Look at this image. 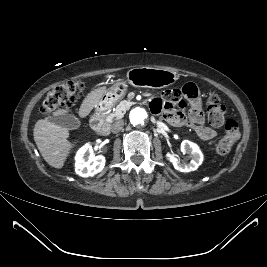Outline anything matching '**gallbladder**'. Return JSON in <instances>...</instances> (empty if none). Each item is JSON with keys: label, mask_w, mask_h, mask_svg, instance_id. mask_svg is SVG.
<instances>
[{"label": "gallbladder", "mask_w": 267, "mask_h": 267, "mask_svg": "<svg viewBox=\"0 0 267 267\" xmlns=\"http://www.w3.org/2000/svg\"><path fill=\"white\" fill-rule=\"evenodd\" d=\"M50 121L56 125L65 127L70 130L77 129L81 125V121L71 114L54 116L50 119Z\"/></svg>", "instance_id": "gallbladder-1"}]
</instances>
